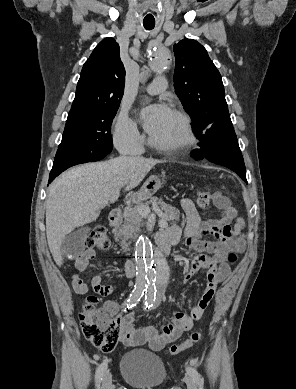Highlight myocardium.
I'll use <instances>...</instances> for the list:
<instances>
[{"label": "myocardium", "instance_id": "1", "mask_svg": "<svg viewBox=\"0 0 296 389\" xmlns=\"http://www.w3.org/2000/svg\"><path fill=\"white\" fill-rule=\"evenodd\" d=\"M171 112L181 121L182 137L178 141L172 143H161L156 141L153 137H150L149 142L154 148L158 150L166 152H178L191 146L195 141V135L191 119L188 114L179 109H172Z\"/></svg>", "mask_w": 296, "mask_h": 389}]
</instances>
